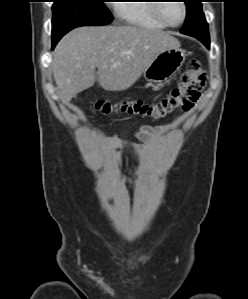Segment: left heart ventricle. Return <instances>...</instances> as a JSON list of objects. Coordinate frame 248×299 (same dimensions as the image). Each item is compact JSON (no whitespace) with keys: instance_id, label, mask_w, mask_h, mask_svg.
I'll use <instances>...</instances> for the list:
<instances>
[{"instance_id":"b2bd125f","label":"left heart ventricle","mask_w":248,"mask_h":299,"mask_svg":"<svg viewBox=\"0 0 248 299\" xmlns=\"http://www.w3.org/2000/svg\"><path fill=\"white\" fill-rule=\"evenodd\" d=\"M162 13L170 23H178L182 18V6L179 1H170L162 5Z\"/></svg>"}]
</instances>
